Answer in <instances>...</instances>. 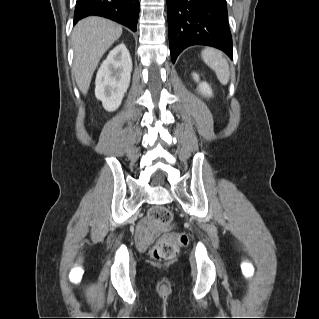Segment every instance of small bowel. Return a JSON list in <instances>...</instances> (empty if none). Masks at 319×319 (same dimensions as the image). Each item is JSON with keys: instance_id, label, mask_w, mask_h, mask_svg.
I'll list each match as a JSON object with an SVG mask.
<instances>
[{"instance_id": "obj_1", "label": "small bowel", "mask_w": 319, "mask_h": 319, "mask_svg": "<svg viewBox=\"0 0 319 319\" xmlns=\"http://www.w3.org/2000/svg\"><path fill=\"white\" fill-rule=\"evenodd\" d=\"M160 229L150 223L148 220L143 219L138 223L137 226V234L138 239L141 241H148L150 240Z\"/></svg>"}]
</instances>
